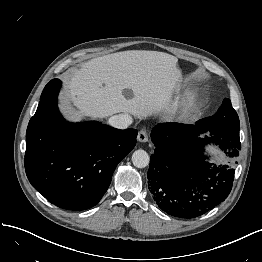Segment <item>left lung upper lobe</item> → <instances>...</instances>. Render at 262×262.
Returning a JSON list of instances; mask_svg holds the SVG:
<instances>
[{"mask_svg":"<svg viewBox=\"0 0 262 262\" xmlns=\"http://www.w3.org/2000/svg\"><path fill=\"white\" fill-rule=\"evenodd\" d=\"M198 124L209 130L239 131V118L233 109L231 101L224 99L218 111L211 117L198 121Z\"/></svg>","mask_w":262,"mask_h":262,"instance_id":"5c2ea615","label":"left lung upper lobe"}]
</instances>
